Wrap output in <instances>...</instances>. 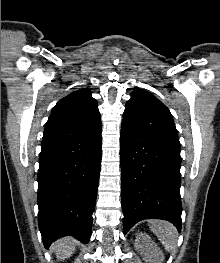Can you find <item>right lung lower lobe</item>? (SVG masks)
<instances>
[{
  "label": "right lung lower lobe",
  "mask_w": 220,
  "mask_h": 263,
  "mask_svg": "<svg viewBox=\"0 0 220 263\" xmlns=\"http://www.w3.org/2000/svg\"><path fill=\"white\" fill-rule=\"evenodd\" d=\"M101 157V127L81 138H43L37 203L46 248L65 235L88 243Z\"/></svg>",
  "instance_id": "98d812e1"
}]
</instances>
